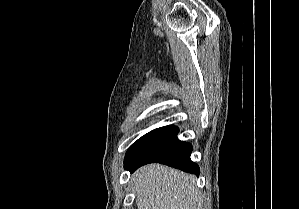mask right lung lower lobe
<instances>
[{
  "mask_svg": "<svg viewBox=\"0 0 299 209\" xmlns=\"http://www.w3.org/2000/svg\"><path fill=\"white\" fill-rule=\"evenodd\" d=\"M178 128L169 125L152 130L138 139L127 151L124 166L130 172L148 163H161L199 175V166L192 162V145L176 138Z\"/></svg>",
  "mask_w": 299,
  "mask_h": 209,
  "instance_id": "98d812e1",
  "label": "right lung lower lobe"
}]
</instances>
